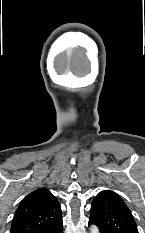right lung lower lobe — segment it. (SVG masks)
<instances>
[{"label":"right lung lower lobe","mask_w":145,"mask_h":233,"mask_svg":"<svg viewBox=\"0 0 145 233\" xmlns=\"http://www.w3.org/2000/svg\"><path fill=\"white\" fill-rule=\"evenodd\" d=\"M48 233H63V221H60L54 228Z\"/></svg>","instance_id":"obj_1"}]
</instances>
